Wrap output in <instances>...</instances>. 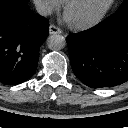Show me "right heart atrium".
Instances as JSON below:
<instances>
[{
	"label": "right heart atrium",
	"mask_w": 128,
	"mask_h": 128,
	"mask_svg": "<svg viewBox=\"0 0 128 128\" xmlns=\"http://www.w3.org/2000/svg\"><path fill=\"white\" fill-rule=\"evenodd\" d=\"M34 2L39 11L44 15H50L58 11L63 4L61 0H34Z\"/></svg>",
	"instance_id": "obj_1"
}]
</instances>
